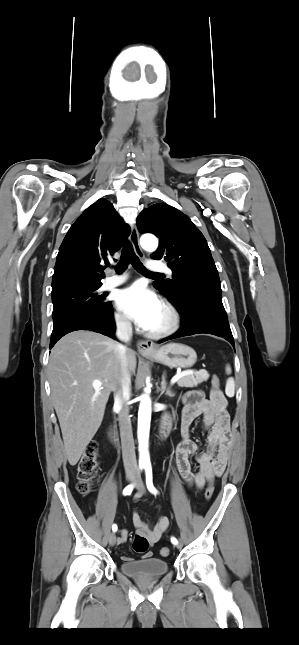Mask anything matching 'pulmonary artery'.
Listing matches in <instances>:
<instances>
[{"label": "pulmonary artery", "mask_w": 299, "mask_h": 645, "mask_svg": "<svg viewBox=\"0 0 299 645\" xmlns=\"http://www.w3.org/2000/svg\"><path fill=\"white\" fill-rule=\"evenodd\" d=\"M147 270L150 271V272H160V271H162V272H166V273H169V274L172 273L170 268L165 263H163L161 261H155V260H151V261H149L147 263ZM126 279H127L126 275H111V276H108L104 280V283L102 285V289L108 290V289H112L114 287H117V286L123 284L126 281Z\"/></svg>", "instance_id": "pulmonary-artery-1"}]
</instances>
